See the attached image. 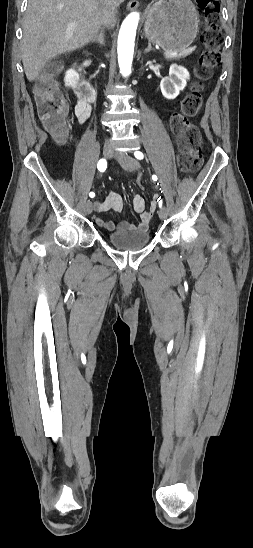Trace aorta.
I'll return each mask as SVG.
<instances>
[{
    "label": "aorta",
    "instance_id": "1",
    "mask_svg": "<svg viewBox=\"0 0 253 548\" xmlns=\"http://www.w3.org/2000/svg\"><path fill=\"white\" fill-rule=\"evenodd\" d=\"M139 13H130L123 21L118 35V63L123 76H129L134 53L136 30L139 23Z\"/></svg>",
    "mask_w": 253,
    "mask_h": 548
}]
</instances>
